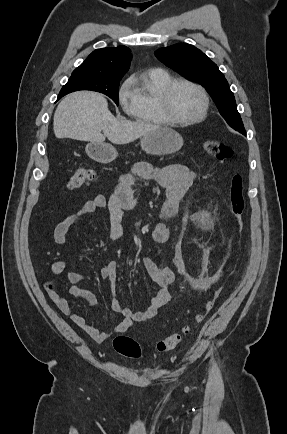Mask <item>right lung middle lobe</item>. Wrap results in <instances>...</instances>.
I'll return each instance as SVG.
<instances>
[{
	"mask_svg": "<svg viewBox=\"0 0 287 434\" xmlns=\"http://www.w3.org/2000/svg\"><path fill=\"white\" fill-rule=\"evenodd\" d=\"M120 80L121 78L109 79L104 77L85 76L77 73H72L67 84L62 87L58 99L74 91L91 90L107 95L118 105V87L120 84Z\"/></svg>",
	"mask_w": 287,
	"mask_h": 434,
	"instance_id": "right-lung-middle-lobe-1",
	"label": "right lung middle lobe"
}]
</instances>
